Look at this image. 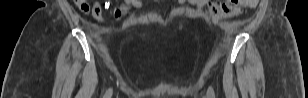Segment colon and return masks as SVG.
Segmentation results:
<instances>
[{
  "mask_svg": "<svg viewBox=\"0 0 308 98\" xmlns=\"http://www.w3.org/2000/svg\"><path fill=\"white\" fill-rule=\"evenodd\" d=\"M76 4L79 8L84 11L88 12L89 9V1L87 0H76ZM258 0H227L223 2H208L207 3V11L211 18L214 20L223 18V17H233L241 13L243 7H248L257 4ZM151 13V12H149ZM117 16L123 15L124 11L117 9L115 11ZM132 16L137 15H146V10H137L132 9L130 11ZM129 19V18H128Z\"/></svg>",
  "mask_w": 308,
  "mask_h": 98,
  "instance_id": "1",
  "label": "colon"
}]
</instances>
